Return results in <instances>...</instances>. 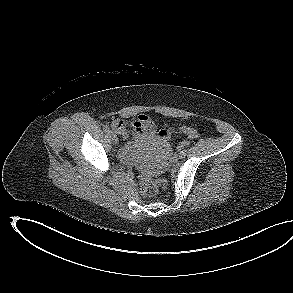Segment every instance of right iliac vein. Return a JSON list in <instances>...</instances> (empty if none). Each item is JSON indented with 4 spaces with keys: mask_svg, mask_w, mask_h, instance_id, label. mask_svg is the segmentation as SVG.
Segmentation results:
<instances>
[{
    "mask_svg": "<svg viewBox=\"0 0 293 293\" xmlns=\"http://www.w3.org/2000/svg\"><path fill=\"white\" fill-rule=\"evenodd\" d=\"M109 135H110V138H111L112 142H113L114 144H117V143H118V138H117L116 134H114V133L111 131V132H109Z\"/></svg>",
    "mask_w": 293,
    "mask_h": 293,
    "instance_id": "obj_1",
    "label": "right iliac vein"
}]
</instances>
